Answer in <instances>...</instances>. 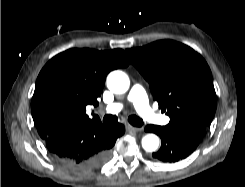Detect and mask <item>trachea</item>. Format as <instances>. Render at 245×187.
<instances>
[{
    "label": "trachea",
    "mask_w": 245,
    "mask_h": 187,
    "mask_svg": "<svg viewBox=\"0 0 245 187\" xmlns=\"http://www.w3.org/2000/svg\"><path fill=\"white\" fill-rule=\"evenodd\" d=\"M117 121H118V117L116 115L107 114L103 118V122L105 124H113L116 123ZM128 122L136 127H141L144 124L143 120L136 115H130L128 117Z\"/></svg>",
    "instance_id": "obj_1"
}]
</instances>
